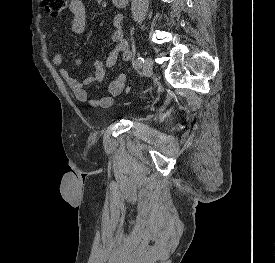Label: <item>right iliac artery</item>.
<instances>
[{"instance_id": "obj_1", "label": "right iliac artery", "mask_w": 275, "mask_h": 263, "mask_svg": "<svg viewBox=\"0 0 275 263\" xmlns=\"http://www.w3.org/2000/svg\"><path fill=\"white\" fill-rule=\"evenodd\" d=\"M143 63H144L143 57L138 56V58H137V59L135 60V62H134V67H135V68H141L142 65H143Z\"/></svg>"}]
</instances>
